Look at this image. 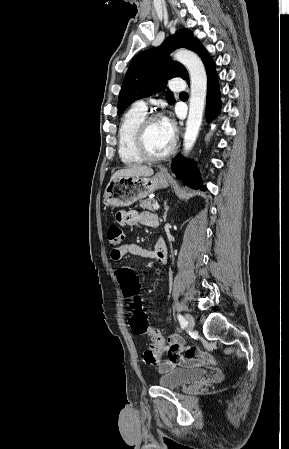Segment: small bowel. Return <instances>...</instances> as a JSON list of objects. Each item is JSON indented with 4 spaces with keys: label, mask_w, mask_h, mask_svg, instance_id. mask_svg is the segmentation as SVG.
Here are the masks:
<instances>
[{
    "label": "small bowel",
    "mask_w": 289,
    "mask_h": 449,
    "mask_svg": "<svg viewBox=\"0 0 289 449\" xmlns=\"http://www.w3.org/2000/svg\"><path fill=\"white\" fill-rule=\"evenodd\" d=\"M117 220L121 225H137L142 224L149 227H156L158 219L155 215L136 211H121L117 214ZM126 255H135L143 258L154 259L160 263H166L168 260V252L166 245L162 239H159L153 250L143 248L135 243L126 242L120 247L112 249L110 256L114 261H120ZM119 281V280H118ZM168 360H160L155 365L160 373H166L176 366L180 369H196L213 368L219 366L218 359L213 357L212 352L204 353L198 346H185V341L179 335H171L164 344ZM161 357V356H160Z\"/></svg>",
    "instance_id": "small-bowel-1"
}]
</instances>
